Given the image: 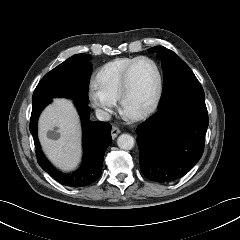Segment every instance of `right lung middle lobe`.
Wrapping results in <instances>:
<instances>
[{
  "label": "right lung middle lobe",
  "instance_id": "dd1d6c3e",
  "mask_svg": "<svg viewBox=\"0 0 240 240\" xmlns=\"http://www.w3.org/2000/svg\"><path fill=\"white\" fill-rule=\"evenodd\" d=\"M91 56L76 54L47 73L37 85L32 101L42 98L65 97L88 103Z\"/></svg>",
  "mask_w": 240,
  "mask_h": 240
}]
</instances>
